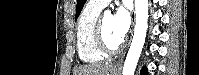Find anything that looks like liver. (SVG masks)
<instances>
[{
    "mask_svg": "<svg viewBox=\"0 0 199 75\" xmlns=\"http://www.w3.org/2000/svg\"><path fill=\"white\" fill-rule=\"evenodd\" d=\"M110 64H89L74 70L73 75H110Z\"/></svg>",
    "mask_w": 199,
    "mask_h": 75,
    "instance_id": "obj_1",
    "label": "liver"
}]
</instances>
